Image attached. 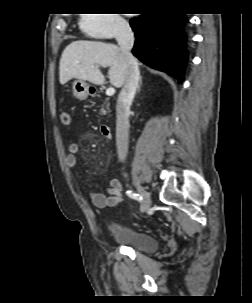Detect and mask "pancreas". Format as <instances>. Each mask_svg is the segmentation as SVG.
I'll list each match as a JSON object with an SVG mask.
<instances>
[{"instance_id": "pancreas-1", "label": "pancreas", "mask_w": 252, "mask_h": 303, "mask_svg": "<svg viewBox=\"0 0 252 303\" xmlns=\"http://www.w3.org/2000/svg\"><path fill=\"white\" fill-rule=\"evenodd\" d=\"M108 102L107 100L104 102V104L102 105L101 109H100V114L101 115H106V113L108 112Z\"/></svg>"}]
</instances>
